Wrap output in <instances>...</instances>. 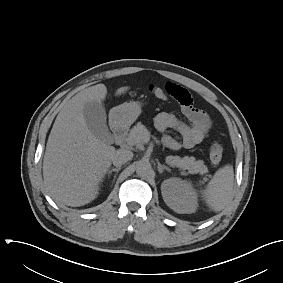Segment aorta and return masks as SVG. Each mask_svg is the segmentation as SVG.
<instances>
[{
	"label": "aorta",
	"mask_w": 283,
	"mask_h": 283,
	"mask_svg": "<svg viewBox=\"0 0 283 283\" xmlns=\"http://www.w3.org/2000/svg\"><path fill=\"white\" fill-rule=\"evenodd\" d=\"M151 171V164L148 161L141 160L136 164V173L140 177L147 176Z\"/></svg>",
	"instance_id": "762f6f07"
}]
</instances>
